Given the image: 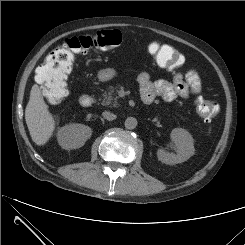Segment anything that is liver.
Listing matches in <instances>:
<instances>
[{"label": "liver", "mask_w": 245, "mask_h": 245, "mask_svg": "<svg viewBox=\"0 0 245 245\" xmlns=\"http://www.w3.org/2000/svg\"><path fill=\"white\" fill-rule=\"evenodd\" d=\"M25 120L33 142L39 146L46 144L55 129V121L37 84L31 88Z\"/></svg>", "instance_id": "obj_1"}]
</instances>
